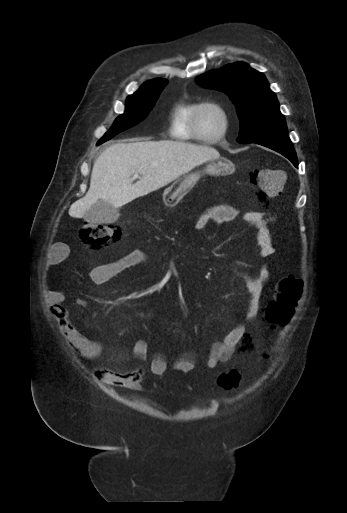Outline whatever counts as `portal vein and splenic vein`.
I'll return each mask as SVG.
<instances>
[{
	"label": "portal vein and splenic vein",
	"instance_id": "1",
	"mask_svg": "<svg viewBox=\"0 0 347 513\" xmlns=\"http://www.w3.org/2000/svg\"><path fill=\"white\" fill-rule=\"evenodd\" d=\"M139 177V174H134V178H138Z\"/></svg>",
	"mask_w": 347,
	"mask_h": 513
}]
</instances>
